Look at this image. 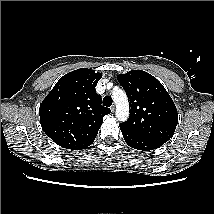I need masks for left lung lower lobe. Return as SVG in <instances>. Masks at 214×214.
Returning a JSON list of instances; mask_svg holds the SVG:
<instances>
[{
	"mask_svg": "<svg viewBox=\"0 0 214 214\" xmlns=\"http://www.w3.org/2000/svg\"><path fill=\"white\" fill-rule=\"evenodd\" d=\"M121 131L126 143L130 147L137 150L149 151V150L157 149L164 144L161 141H157L148 137L133 134L131 132H128L122 129Z\"/></svg>",
	"mask_w": 214,
	"mask_h": 214,
	"instance_id": "1",
	"label": "left lung lower lobe"
}]
</instances>
